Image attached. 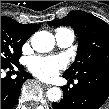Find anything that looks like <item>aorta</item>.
Instances as JSON below:
<instances>
[{"label": "aorta", "mask_w": 109, "mask_h": 109, "mask_svg": "<svg viewBox=\"0 0 109 109\" xmlns=\"http://www.w3.org/2000/svg\"><path fill=\"white\" fill-rule=\"evenodd\" d=\"M31 45L37 52H49L54 48L55 39L48 31H38L32 36ZM47 97L51 102H58L62 97V91L58 87H52L48 89Z\"/></svg>", "instance_id": "aorta-1"}]
</instances>
